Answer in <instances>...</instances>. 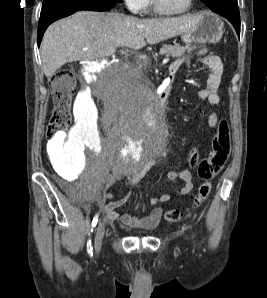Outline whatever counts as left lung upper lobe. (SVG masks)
Masks as SVG:
<instances>
[{"instance_id":"1","label":"left lung upper lobe","mask_w":267,"mask_h":298,"mask_svg":"<svg viewBox=\"0 0 267 298\" xmlns=\"http://www.w3.org/2000/svg\"><path fill=\"white\" fill-rule=\"evenodd\" d=\"M204 2L212 11L226 12L233 7H238L237 0H201Z\"/></svg>"}]
</instances>
